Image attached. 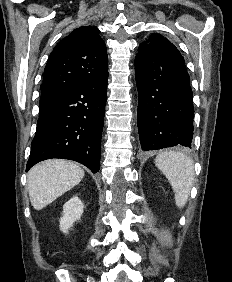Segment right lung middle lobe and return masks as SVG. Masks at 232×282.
Here are the masks:
<instances>
[{
    "instance_id": "right-lung-middle-lobe-1",
    "label": "right lung middle lobe",
    "mask_w": 232,
    "mask_h": 282,
    "mask_svg": "<svg viewBox=\"0 0 232 282\" xmlns=\"http://www.w3.org/2000/svg\"><path fill=\"white\" fill-rule=\"evenodd\" d=\"M57 99L51 98V97H44L40 98L39 101V115L44 114L53 104L55 103Z\"/></svg>"
}]
</instances>
